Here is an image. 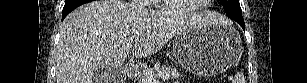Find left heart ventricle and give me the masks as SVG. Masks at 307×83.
Listing matches in <instances>:
<instances>
[{
	"instance_id": "left-heart-ventricle-1",
	"label": "left heart ventricle",
	"mask_w": 307,
	"mask_h": 83,
	"mask_svg": "<svg viewBox=\"0 0 307 83\" xmlns=\"http://www.w3.org/2000/svg\"><path fill=\"white\" fill-rule=\"evenodd\" d=\"M199 1L201 0H175L174 4L178 9L187 10L198 5Z\"/></svg>"
}]
</instances>
